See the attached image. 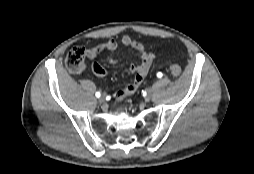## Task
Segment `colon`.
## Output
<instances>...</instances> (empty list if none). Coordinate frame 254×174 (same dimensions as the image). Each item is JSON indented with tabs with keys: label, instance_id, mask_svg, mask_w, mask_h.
Instances as JSON below:
<instances>
[{
	"label": "colon",
	"instance_id": "obj_1",
	"mask_svg": "<svg viewBox=\"0 0 254 174\" xmlns=\"http://www.w3.org/2000/svg\"><path fill=\"white\" fill-rule=\"evenodd\" d=\"M86 50L82 46L72 47L66 55L65 66L71 73H80L86 68ZM169 72L172 76L178 77L181 75V67L177 64L169 66Z\"/></svg>",
	"mask_w": 254,
	"mask_h": 174
}]
</instances>
